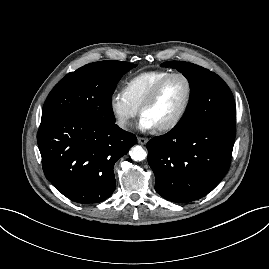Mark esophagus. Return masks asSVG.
Wrapping results in <instances>:
<instances>
[{"mask_svg":"<svg viewBox=\"0 0 269 269\" xmlns=\"http://www.w3.org/2000/svg\"><path fill=\"white\" fill-rule=\"evenodd\" d=\"M147 139L143 137H138V143L141 145H145L147 143Z\"/></svg>","mask_w":269,"mask_h":269,"instance_id":"esophagus-1","label":"esophagus"}]
</instances>
